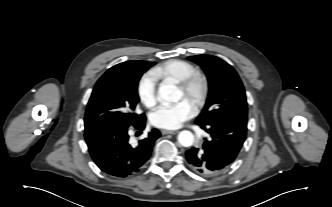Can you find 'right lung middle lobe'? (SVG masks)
Segmentation results:
<instances>
[{
    "mask_svg": "<svg viewBox=\"0 0 332 207\" xmlns=\"http://www.w3.org/2000/svg\"><path fill=\"white\" fill-rule=\"evenodd\" d=\"M155 63L127 61L107 70L97 81L85 114V132L110 126H131L145 116L137 115L140 77Z\"/></svg>",
    "mask_w": 332,
    "mask_h": 207,
    "instance_id": "dd1d6c3e",
    "label": "right lung middle lobe"
}]
</instances>
